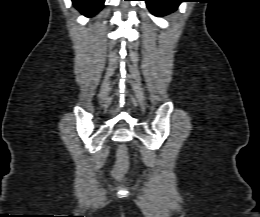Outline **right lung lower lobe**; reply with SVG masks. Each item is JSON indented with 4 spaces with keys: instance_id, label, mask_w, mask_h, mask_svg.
I'll list each match as a JSON object with an SVG mask.
<instances>
[{
    "instance_id": "right-lung-lower-lobe-1",
    "label": "right lung lower lobe",
    "mask_w": 260,
    "mask_h": 217,
    "mask_svg": "<svg viewBox=\"0 0 260 217\" xmlns=\"http://www.w3.org/2000/svg\"><path fill=\"white\" fill-rule=\"evenodd\" d=\"M105 0H72L73 5L85 16L91 17L98 13Z\"/></svg>"
}]
</instances>
